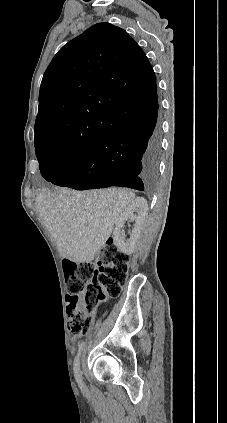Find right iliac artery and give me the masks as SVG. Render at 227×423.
Masks as SVG:
<instances>
[{"label": "right iliac artery", "mask_w": 227, "mask_h": 423, "mask_svg": "<svg viewBox=\"0 0 227 423\" xmlns=\"http://www.w3.org/2000/svg\"><path fill=\"white\" fill-rule=\"evenodd\" d=\"M83 347H84V342H82L80 344L78 354L75 357L74 364H73L74 376H75V379H76V381H77V383H78V385L81 389L83 387V382H82V378H81V374H80V354H81Z\"/></svg>", "instance_id": "82829eb1"}]
</instances>
